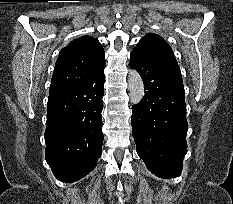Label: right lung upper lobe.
<instances>
[{"mask_svg":"<svg viewBox=\"0 0 233 204\" xmlns=\"http://www.w3.org/2000/svg\"><path fill=\"white\" fill-rule=\"evenodd\" d=\"M104 50L96 38L83 36L63 48L56 61L49 95L87 83L105 68Z\"/></svg>","mask_w":233,"mask_h":204,"instance_id":"obj_1","label":"right lung upper lobe"}]
</instances>
